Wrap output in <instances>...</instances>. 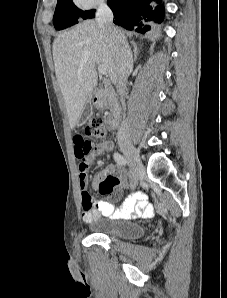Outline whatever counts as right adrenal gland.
<instances>
[{"mask_svg": "<svg viewBox=\"0 0 227 298\" xmlns=\"http://www.w3.org/2000/svg\"><path fill=\"white\" fill-rule=\"evenodd\" d=\"M132 45H133V51H134V61H137V57H138V54H139V49L137 47V45L132 42Z\"/></svg>", "mask_w": 227, "mask_h": 298, "instance_id": "1", "label": "right adrenal gland"}]
</instances>
